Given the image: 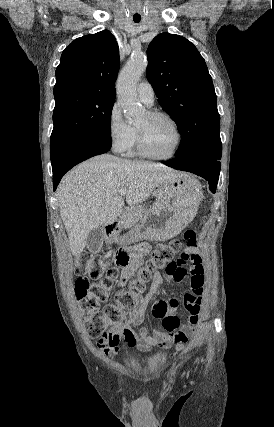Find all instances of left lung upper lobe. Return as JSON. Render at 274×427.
<instances>
[{
  "label": "left lung upper lobe",
  "mask_w": 274,
  "mask_h": 427,
  "mask_svg": "<svg viewBox=\"0 0 274 427\" xmlns=\"http://www.w3.org/2000/svg\"><path fill=\"white\" fill-rule=\"evenodd\" d=\"M147 78L181 134L176 157L221 144L216 94L206 63L182 36L162 33L147 50Z\"/></svg>",
  "instance_id": "obj_1"
}]
</instances>
